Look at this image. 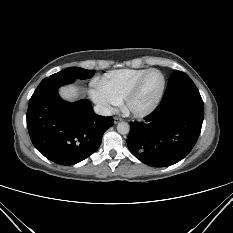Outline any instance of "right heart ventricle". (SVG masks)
Returning <instances> with one entry per match:
<instances>
[{
	"label": "right heart ventricle",
	"instance_id": "obj_1",
	"mask_svg": "<svg viewBox=\"0 0 233 233\" xmlns=\"http://www.w3.org/2000/svg\"><path fill=\"white\" fill-rule=\"evenodd\" d=\"M147 70L140 68L110 71L98 79L97 82L120 103L138 78Z\"/></svg>",
	"mask_w": 233,
	"mask_h": 233
}]
</instances>
